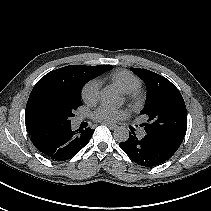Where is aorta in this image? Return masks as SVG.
<instances>
[{
  "label": "aorta",
  "instance_id": "762f6f07",
  "mask_svg": "<svg viewBox=\"0 0 211 211\" xmlns=\"http://www.w3.org/2000/svg\"><path fill=\"white\" fill-rule=\"evenodd\" d=\"M101 103L105 106H121L123 104V98L110 89H104L101 92ZM113 136L118 142H125L129 138V131L125 127H119L115 129Z\"/></svg>",
  "mask_w": 211,
  "mask_h": 211
}]
</instances>
